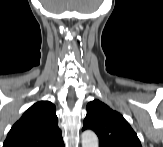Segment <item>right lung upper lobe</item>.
<instances>
[{
    "label": "right lung upper lobe",
    "mask_w": 163,
    "mask_h": 147,
    "mask_svg": "<svg viewBox=\"0 0 163 147\" xmlns=\"http://www.w3.org/2000/svg\"><path fill=\"white\" fill-rule=\"evenodd\" d=\"M64 145L58 127L56 107L49 101L32 105L12 126L3 147H60Z\"/></svg>",
    "instance_id": "obj_1"
}]
</instances>
